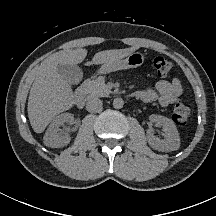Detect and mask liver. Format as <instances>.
I'll return each instance as SVG.
<instances>
[{
    "mask_svg": "<svg viewBox=\"0 0 216 216\" xmlns=\"http://www.w3.org/2000/svg\"><path fill=\"white\" fill-rule=\"evenodd\" d=\"M135 47L100 51L90 64L109 65L128 56ZM87 50L59 51L45 59L37 73L28 98V117L33 130L42 133L59 113L69 110L75 104L70 84L58 73V64L76 65L83 62Z\"/></svg>",
    "mask_w": 216,
    "mask_h": 216,
    "instance_id": "liver-1",
    "label": "liver"
}]
</instances>
